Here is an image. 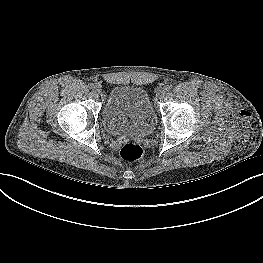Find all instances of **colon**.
I'll use <instances>...</instances> for the list:
<instances>
[{"instance_id":"1","label":"colon","mask_w":263,"mask_h":263,"mask_svg":"<svg viewBox=\"0 0 263 263\" xmlns=\"http://www.w3.org/2000/svg\"><path fill=\"white\" fill-rule=\"evenodd\" d=\"M142 148L135 143H126L120 150V156L126 161H136L142 157Z\"/></svg>"}]
</instances>
